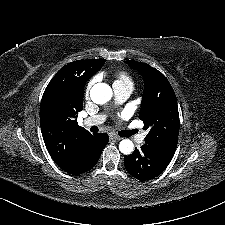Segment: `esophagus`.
I'll return each instance as SVG.
<instances>
[{
  "mask_svg": "<svg viewBox=\"0 0 225 225\" xmlns=\"http://www.w3.org/2000/svg\"><path fill=\"white\" fill-rule=\"evenodd\" d=\"M109 138H110L111 140H114V141H119V140H121L120 137H118L117 135H115V134H113V133H111V134L109 135Z\"/></svg>",
  "mask_w": 225,
  "mask_h": 225,
  "instance_id": "obj_1",
  "label": "esophagus"
}]
</instances>
